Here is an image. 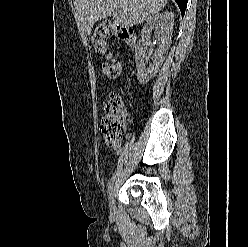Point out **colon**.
Wrapping results in <instances>:
<instances>
[{
  "label": "colon",
  "mask_w": 248,
  "mask_h": 247,
  "mask_svg": "<svg viewBox=\"0 0 248 247\" xmlns=\"http://www.w3.org/2000/svg\"><path fill=\"white\" fill-rule=\"evenodd\" d=\"M116 37L132 46L135 36L130 30L112 22L99 24L93 31L91 40L94 49L107 57L102 64L103 73L109 78H116L121 72L120 63L109 53L108 40ZM126 108L119 95L113 94L101 117L100 131L106 145L111 149L120 147L126 131Z\"/></svg>",
  "instance_id": "obj_1"
}]
</instances>
